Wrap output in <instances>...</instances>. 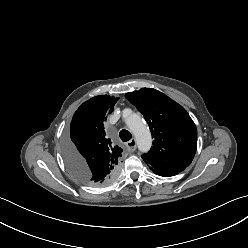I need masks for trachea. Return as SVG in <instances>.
Instances as JSON below:
<instances>
[{"mask_svg": "<svg viewBox=\"0 0 248 248\" xmlns=\"http://www.w3.org/2000/svg\"><path fill=\"white\" fill-rule=\"evenodd\" d=\"M119 136L123 142H127L132 138L131 133L128 130H121Z\"/></svg>", "mask_w": 248, "mask_h": 248, "instance_id": "3493384b", "label": "trachea"}]
</instances>
